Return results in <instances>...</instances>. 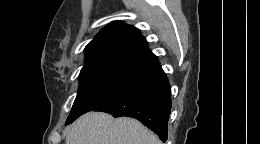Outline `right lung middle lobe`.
I'll return each mask as SVG.
<instances>
[{
  "mask_svg": "<svg viewBox=\"0 0 260 144\" xmlns=\"http://www.w3.org/2000/svg\"><path fill=\"white\" fill-rule=\"evenodd\" d=\"M136 73L132 70L106 67L81 70L79 90L66 124L106 101L124 87Z\"/></svg>",
  "mask_w": 260,
  "mask_h": 144,
  "instance_id": "1",
  "label": "right lung middle lobe"
}]
</instances>
